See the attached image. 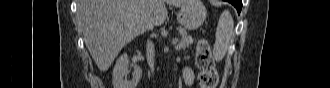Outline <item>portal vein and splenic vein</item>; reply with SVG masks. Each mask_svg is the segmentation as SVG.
Returning <instances> with one entry per match:
<instances>
[{
	"label": "portal vein and splenic vein",
	"mask_w": 330,
	"mask_h": 88,
	"mask_svg": "<svg viewBox=\"0 0 330 88\" xmlns=\"http://www.w3.org/2000/svg\"><path fill=\"white\" fill-rule=\"evenodd\" d=\"M177 41H178L177 39H174V40L172 41V44H173V45H176V44H177Z\"/></svg>",
	"instance_id": "1"
}]
</instances>
